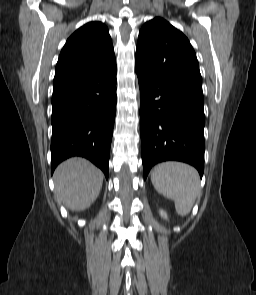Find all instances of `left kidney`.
I'll return each mask as SVG.
<instances>
[{
	"label": "left kidney",
	"instance_id": "obj_1",
	"mask_svg": "<svg viewBox=\"0 0 256 295\" xmlns=\"http://www.w3.org/2000/svg\"><path fill=\"white\" fill-rule=\"evenodd\" d=\"M160 215H161V217L167 219V213L165 211L160 210Z\"/></svg>",
	"mask_w": 256,
	"mask_h": 295
}]
</instances>
